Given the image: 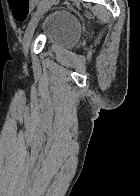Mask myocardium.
<instances>
[{
    "mask_svg": "<svg viewBox=\"0 0 140 196\" xmlns=\"http://www.w3.org/2000/svg\"><path fill=\"white\" fill-rule=\"evenodd\" d=\"M3 192H7V191H3ZM35 192H67V191H35Z\"/></svg>",
    "mask_w": 140,
    "mask_h": 196,
    "instance_id": "myocardium-1",
    "label": "myocardium"
}]
</instances>
